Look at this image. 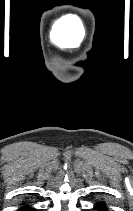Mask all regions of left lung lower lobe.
<instances>
[{"instance_id": "1", "label": "left lung lower lobe", "mask_w": 133, "mask_h": 211, "mask_svg": "<svg viewBox=\"0 0 133 211\" xmlns=\"http://www.w3.org/2000/svg\"><path fill=\"white\" fill-rule=\"evenodd\" d=\"M95 210L97 211H108L106 205L104 203L95 204Z\"/></svg>"}]
</instances>
